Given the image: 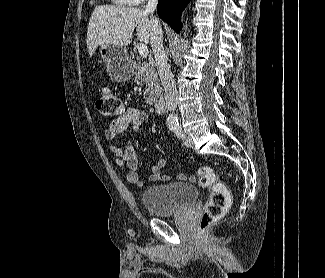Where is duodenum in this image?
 <instances>
[{"label": "duodenum", "instance_id": "duodenum-1", "mask_svg": "<svg viewBox=\"0 0 325 278\" xmlns=\"http://www.w3.org/2000/svg\"><path fill=\"white\" fill-rule=\"evenodd\" d=\"M153 107L156 112L164 113L166 110V102L163 98H158V99L154 100Z\"/></svg>", "mask_w": 325, "mask_h": 278}]
</instances>
